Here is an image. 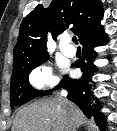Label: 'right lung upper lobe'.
I'll use <instances>...</instances> for the list:
<instances>
[{"label": "right lung upper lobe", "mask_w": 117, "mask_h": 131, "mask_svg": "<svg viewBox=\"0 0 117 131\" xmlns=\"http://www.w3.org/2000/svg\"><path fill=\"white\" fill-rule=\"evenodd\" d=\"M102 16L101 0H53L46 9L38 5L21 22L13 52V69L48 57V31L56 40L70 28L82 42L102 29Z\"/></svg>", "instance_id": "1"}]
</instances>
